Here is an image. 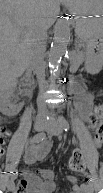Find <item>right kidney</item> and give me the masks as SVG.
I'll list each match as a JSON object with an SVG mask.
<instances>
[{
  "label": "right kidney",
  "mask_w": 103,
  "mask_h": 193,
  "mask_svg": "<svg viewBox=\"0 0 103 193\" xmlns=\"http://www.w3.org/2000/svg\"><path fill=\"white\" fill-rule=\"evenodd\" d=\"M16 87V79L7 80L2 78L0 85V111L5 116H16L23 107V104L15 105L11 102Z\"/></svg>",
  "instance_id": "ca27d5eb"
}]
</instances>
